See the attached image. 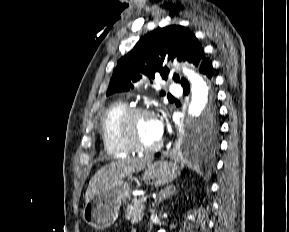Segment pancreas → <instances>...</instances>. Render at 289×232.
Segmentation results:
<instances>
[{"mask_svg": "<svg viewBox=\"0 0 289 232\" xmlns=\"http://www.w3.org/2000/svg\"><path fill=\"white\" fill-rule=\"evenodd\" d=\"M145 206L143 202L134 199L131 204L127 206L125 217L130 220L131 223H138L142 221Z\"/></svg>", "mask_w": 289, "mask_h": 232, "instance_id": "pancreas-1", "label": "pancreas"}]
</instances>
